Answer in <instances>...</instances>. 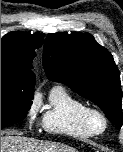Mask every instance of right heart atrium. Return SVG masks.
I'll return each mask as SVG.
<instances>
[{
  "mask_svg": "<svg viewBox=\"0 0 123 152\" xmlns=\"http://www.w3.org/2000/svg\"><path fill=\"white\" fill-rule=\"evenodd\" d=\"M39 105V100L36 98L30 102L25 114L29 125H32L35 122L39 110Z\"/></svg>",
  "mask_w": 123,
  "mask_h": 152,
  "instance_id": "d8ad5b80",
  "label": "right heart atrium"
}]
</instances>
